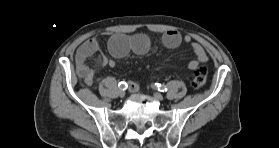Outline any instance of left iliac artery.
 I'll return each mask as SVG.
<instances>
[{
	"instance_id": "left-iliac-artery-1",
	"label": "left iliac artery",
	"mask_w": 279,
	"mask_h": 148,
	"mask_svg": "<svg viewBox=\"0 0 279 148\" xmlns=\"http://www.w3.org/2000/svg\"><path fill=\"white\" fill-rule=\"evenodd\" d=\"M152 87L157 89L160 92H166L167 91V87L164 84L155 83V84L152 85Z\"/></svg>"
}]
</instances>
